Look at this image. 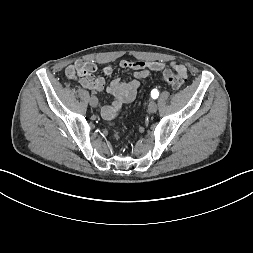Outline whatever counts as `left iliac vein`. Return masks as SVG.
Masks as SVG:
<instances>
[{"instance_id": "left-iliac-vein-1", "label": "left iliac vein", "mask_w": 253, "mask_h": 253, "mask_svg": "<svg viewBox=\"0 0 253 253\" xmlns=\"http://www.w3.org/2000/svg\"><path fill=\"white\" fill-rule=\"evenodd\" d=\"M148 111L150 113H155L157 111V103L155 101H151L148 105Z\"/></svg>"}]
</instances>
